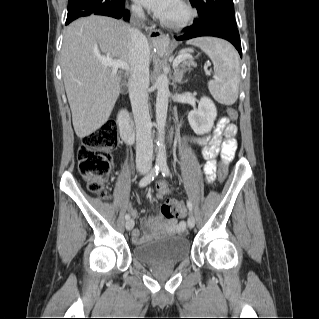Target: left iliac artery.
Wrapping results in <instances>:
<instances>
[{"label": "left iliac artery", "instance_id": "1", "mask_svg": "<svg viewBox=\"0 0 319 319\" xmlns=\"http://www.w3.org/2000/svg\"><path fill=\"white\" fill-rule=\"evenodd\" d=\"M160 171H161V173H162V175L165 177V176H169V174H170V170H169V167H168V165H167V163L166 162H162L161 164H160ZM187 207H188V209L190 210V211H192V209H193V205H192V203H191V201H187Z\"/></svg>", "mask_w": 319, "mask_h": 319}]
</instances>
